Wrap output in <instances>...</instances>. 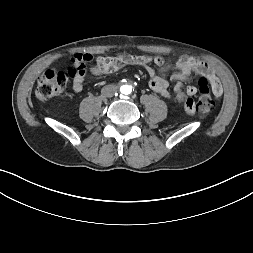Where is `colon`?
I'll use <instances>...</instances> for the list:
<instances>
[{
    "label": "colon",
    "mask_w": 253,
    "mask_h": 253,
    "mask_svg": "<svg viewBox=\"0 0 253 253\" xmlns=\"http://www.w3.org/2000/svg\"><path fill=\"white\" fill-rule=\"evenodd\" d=\"M86 60L74 62L62 70L50 69L44 72L38 79L36 86V97L39 100L46 101L59 95L66 87L68 81L77 75L84 74ZM200 95L197 100L198 112L206 115L213 106V100L210 94L208 81L205 77L199 79ZM197 112V113H198Z\"/></svg>",
    "instance_id": "1"
}]
</instances>
